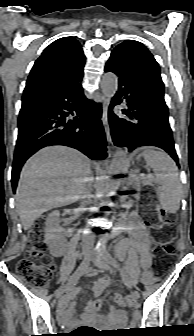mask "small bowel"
<instances>
[{
	"instance_id": "obj_1",
	"label": "small bowel",
	"mask_w": 194,
	"mask_h": 336,
	"mask_svg": "<svg viewBox=\"0 0 194 336\" xmlns=\"http://www.w3.org/2000/svg\"><path fill=\"white\" fill-rule=\"evenodd\" d=\"M129 233L130 239L122 241L118 247L119 256L124 259L125 251L127 247H132L134 251L139 255V263L143 269L145 276L150 275L151 255L149 249V234L147 232L146 225L140 220V218L133 214L129 219ZM130 266L133 271L137 269L138 262L135 258L129 259ZM111 283V278H101L93 287V292L96 297L100 296L103 290ZM114 299L117 303L122 304V296L119 293L114 294ZM102 299H96L89 301L86 305L83 320L85 323H95V312L102 307ZM60 320L64 325H74L77 320L74 318V309L72 306L68 307V300L64 299L60 303ZM125 320V316L122 312L117 311L113 306L109 308L108 315L105 322L108 325H113L118 321Z\"/></svg>"
}]
</instances>
